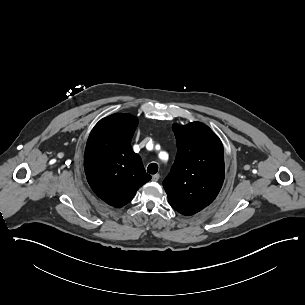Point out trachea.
Masks as SVG:
<instances>
[{"label":"trachea","instance_id":"trachea-1","mask_svg":"<svg viewBox=\"0 0 305 305\" xmlns=\"http://www.w3.org/2000/svg\"><path fill=\"white\" fill-rule=\"evenodd\" d=\"M158 171V165L156 163H151L148 167H147V172L149 174H156Z\"/></svg>","mask_w":305,"mask_h":305}]
</instances>
